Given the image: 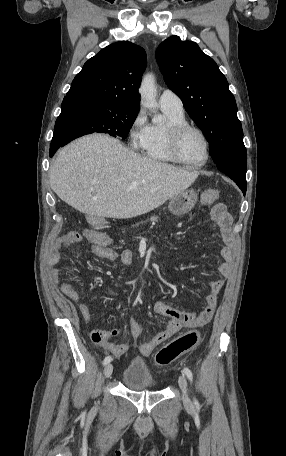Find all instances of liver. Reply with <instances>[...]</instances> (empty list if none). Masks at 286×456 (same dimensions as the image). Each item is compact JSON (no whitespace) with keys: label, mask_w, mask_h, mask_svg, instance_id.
Wrapping results in <instances>:
<instances>
[{"label":"liver","mask_w":286,"mask_h":456,"mask_svg":"<svg viewBox=\"0 0 286 456\" xmlns=\"http://www.w3.org/2000/svg\"><path fill=\"white\" fill-rule=\"evenodd\" d=\"M198 177L143 157L104 134L65 146L50 169V186L76 210L94 217L132 218L185 191Z\"/></svg>","instance_id":"6515ba94"}]
</instances>
